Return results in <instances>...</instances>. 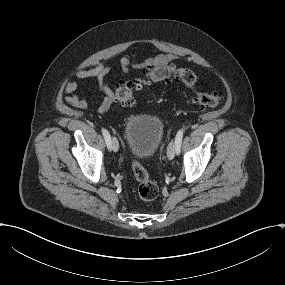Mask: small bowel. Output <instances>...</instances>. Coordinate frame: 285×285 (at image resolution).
<instances>
[{"label":"small bowel","mask_w":285,"mask_h":285,"mask_svg":"<svg viewBox=\"0 0 285 285\" xmlns=\"http://www.w3.org/2000/svg\"><path fill=\"white\" fill-rule=\"evenodd\" d=\"M178 58L177 55L167 52L151 55L143 61L132 57H122L120 59V70L122 75L129 73L130 69H146L149 67H157L167 65ZM111 64L100 61L92 68H80L76 71L77 78L81 80L94 81L98 90L102 93V98L97 104V110L100 114L106 113L114 102V91L110 85L109 74L111 72ZM79 84L77 82L68 81L64 84L63 89L66 93L65 101L78 109L86 110L90 104L79 95L75 94L78 90Z\"/></svg>","instance_id":"small-bowel-1"}]
</instances>
